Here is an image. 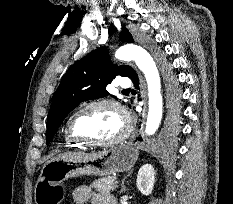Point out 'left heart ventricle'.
<instances>
[{"mask_svg":"<svg viewBox=\"0 0 233 204\" xmlns=\"http://www.w3.org/2000/svg\"><path fill=\"white\" fill-rule=\"evenodd\" d=\"M120 114L111 107H93L81 113L74 122L77 135L94 141H107L123 130Z\"/></svg>","mask_w":233,"mask_h":204,"instance_id":"b2bd125f","label":"left heart ventricle"}]
</instances>
